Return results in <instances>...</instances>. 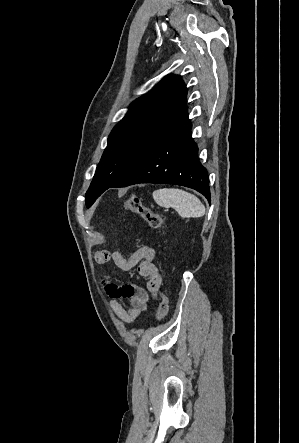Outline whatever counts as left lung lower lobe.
Returning <instances> with one entry per match:
<instances>
[{"instance_id": "obj_1", "label": "left lung lower lobe", "mask_w": 299, "mask_h": 443, "mask_svg": "<svg viewBox=\"0 0 299 443\" xmlns=\"http://www.w3.org/2000/svg\"><path fill=\"white\" fill-rule=\"evenodd\" d=\"M188 117L150 148L112 187L138 183L186 186L210 196L209 178L197 157Z\"/></svg>"}]
</instances>
